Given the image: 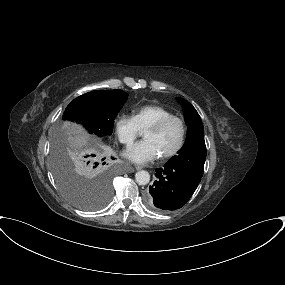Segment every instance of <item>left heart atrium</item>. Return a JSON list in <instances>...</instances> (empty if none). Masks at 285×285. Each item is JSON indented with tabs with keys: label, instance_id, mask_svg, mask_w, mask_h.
<instances>
[{
	"label": "left heart atrium",
	"instance_id": "obj_1",
	"mask_svg": "<svg viewBox=\"0 0 285 285\" xmlns=\"http://www.w3.org/2000/svg\"><path fill=\"white\" fill-rule=\"evenodd\" d=\"M124 155L131 162L139 165L147 164L159 156L152 142L145 139L129 147Z\"/></svg>",
	"mask_w": 285,
	"mask_h": 285
}]
</instances>
